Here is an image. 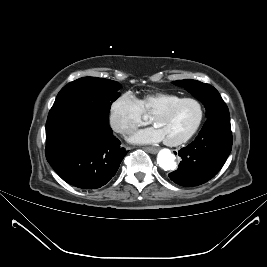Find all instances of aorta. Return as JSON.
<instances>
[{"label":"aorta","instance_id":"762f6f07","mask_svg":"<svg viewBox=\"0 0 267 267\" xmlns=\"http://www.w3.org/2000/svg\"><path fill=\"white\" fill-rule=\"evenodd\" d=\"M157 163L165 170H174L176 168L175 156L169 150H161L157 156Z\"/></svg>","mask_w":267,"mask_h":267}]
</instances>
